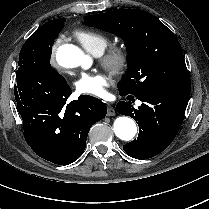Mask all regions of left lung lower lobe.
Masks as SVG:
<instances>
[{
    "label": "left lung lower lobe",
    "mask_w": 209,
    "mask_h": 209,
    "mask_svg": "<svg viewBox=\"0 0 209 209\" xmlns=\"http://www.w3.org/2000/svg\"><path fill=\"white\" fill-rule=\"evenodd\" d=\"M135 97L144 102L138 109L120 101L116 111L138 122V138L125 144L123 149L133 158L144 160L161 153L173 141L181 127L190 91L155 87Z\"/></svg>",
    "instance_id": "left-lung-lower-lobe-1"
}]
</instances>
